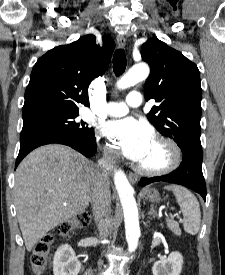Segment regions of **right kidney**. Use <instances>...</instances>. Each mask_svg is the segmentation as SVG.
Masks as SVG:
<instances>
[{"label":"right kidney","mask_w":225,"mask_h":275,"mask_svg":"<svg viewBox=\"0 0 225 275\" xmlns=\"http://www.w3.org/2000/svg\"><path fill=\"white\" fill-rule=\"evenodd\" d=\"M81 263L68 244L61 245L53 259L54 275H78Z\"/></svg>","instance_id":"ca27d5eb"}]
</instances>
